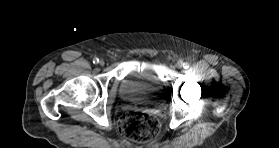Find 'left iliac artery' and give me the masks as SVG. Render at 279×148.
Segmentation results:
<instances>
[{
  "label": "left iliac artery",
  "mask_w": 279,
  "mask_h": 148,
  "mask_svg": "<svg viewBox=\"0 0 279 148\" xmlns=\"http://www.w3.org/2000/svg\"><path fill=\"white\" fill-rule=\"evenodd\" d=\"M182 66L183 68L188 69L190 65L188 62H184Z\"/></svg>",
  "instance_id": "1"
}]
</instances>
